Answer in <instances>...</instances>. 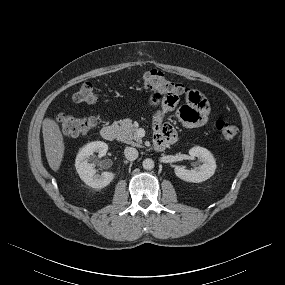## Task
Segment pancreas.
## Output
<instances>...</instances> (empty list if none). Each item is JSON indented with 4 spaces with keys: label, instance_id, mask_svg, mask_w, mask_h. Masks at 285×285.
Wrapping results in <instances>:
<instances>
[{
    "label": "pancreas",
    "instance_id": "cf45deb5",
    "mask_svg": "<svg viewBox=\"0 0 285 285\" xmlns=\"http://www.w3.org/2000/svg\"><path fill=\"white\" fill-rule=\"evenodd\" d=\"M113 125L118 129V140L132 146L141 147L142 140L135 135L136 129L131 120H120Z\"/></svg>",
    "mask_w": 285,
    "mask_h": 285
}]
</instances>
